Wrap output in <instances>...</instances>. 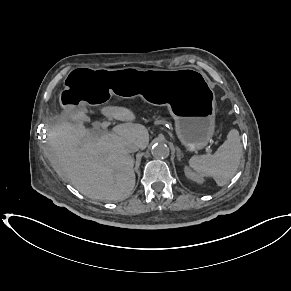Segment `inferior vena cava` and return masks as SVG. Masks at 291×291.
I'll return each instance as SVG.
<instances>
[{
  "label": "inferior vena cava",
  "instance_id": "602c4592",
  "mask_svg": "<svg viewBox=\"0 0 291 291\" xmlns=\"http://www.w3.org/2000/svg\"><path fill=\"white\" fill-rule=\"evenodd\" d=\"M139 145L136 143H130L126 146V150L129 153L137 152L139 150Z\"/></svg>",
  "mask_w": 291,
  "mask_h": 291
}]
</instances>
